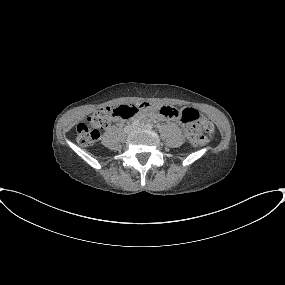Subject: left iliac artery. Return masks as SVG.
Returning <instances> with one entry per match:
<instances>
[{
  "label": "left iliac artery",
  "instance_id": "left-iliac-artery-1",
  "mask_svg": "<svg viewBox=\"0 0 285 285\" xmlns=\"http://www.w3.org/2000/svg\"><path fill=\"white\" fill-rule=\"evenodd\" d=\"M146 127H147L148 129H152V128H153V125H152L151 123H147V124H146Z\"/></svg>",
  "mask_w": 285,
  "mask_h": 285
}]
</instances>
